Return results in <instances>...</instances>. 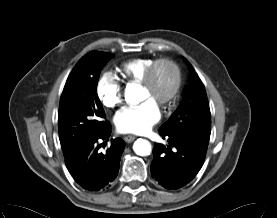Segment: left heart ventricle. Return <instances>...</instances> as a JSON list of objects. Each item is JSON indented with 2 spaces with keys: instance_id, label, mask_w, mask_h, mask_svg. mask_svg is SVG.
<instances>
[{
  "instance_id": "obj_1",
  "label": "left heart ventricle",
  "mask_w": 277,
  "mask_h": 218,
  "mask_svg": "<svg viewBox=\"0 0 277 218\" xmlns=\"http://www.w3.org/2000/svg\"><path fill=\"white\" fill-rule=\"evenodd\" d=\"M171 81V71L164 65H160L157 71V92L165 90ZM153 91L147 90L146 96L153 95Z\"/></svg>"
}]
</instances>
